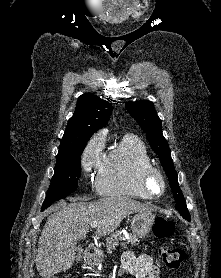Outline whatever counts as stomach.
Instances as JSON below:
<instances>
[{"mask_svg": "<svg viewBox=\"0 0 221 278\" xmlns=\"http://www.w3.org/2000/svg\"><path fill=\"white\" fill-rule=\"evenodd\" d=\"M154 221L155 216L151 212H138L131 221L132 233L141 237L147 235L152 229ZM102 258L103 256H99L96 263H100Z\"/></svg>", "mask_w": 221, "mask_h": 278, "instance_id": "0dacf381", "label": "stomach"}]
</instances>
